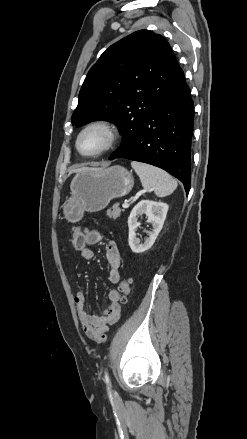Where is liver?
Wrapping results in <instances>:
<instances>
[{"mask_svg":"<svg viewBox=\"0 0 247 439\" xmlns=\"http://www.w3.org/2000/svg\"><path fill=\"white\" fill-rule=\"evenodd\" d=\"M92 169H95V168L83 167V168L73 169L69 172V175L72 173H81V172L89 171Z\"/></svg>","mask_w":247,"mask_h":439,"instance_id":"1","label":"liver"}]
</instances>
